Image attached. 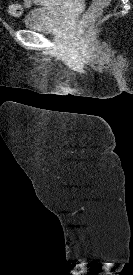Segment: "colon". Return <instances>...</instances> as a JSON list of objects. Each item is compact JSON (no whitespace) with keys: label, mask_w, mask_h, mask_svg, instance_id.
Instances as JSON below:
<instances>
[{"label":"colon","mask_w":133,"mask_h":275,"mask_svg":"<svg viewBox=\"0 0 133 275\" xmlns=\"http://www.w3.org/2000/svg\"><path fill=\"white\" fill-rule=\"evenodd\" d=\"M107 2H108L107 0H93L92 7L88 11V16L97 17L102 12ZM22 11H23V7L20 4L11 3L8 6V13L11 16H14V17L21 16Z\"/></svg>","instance_id":"5ec220e1"}]
</instances>
